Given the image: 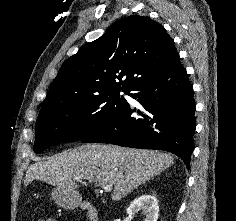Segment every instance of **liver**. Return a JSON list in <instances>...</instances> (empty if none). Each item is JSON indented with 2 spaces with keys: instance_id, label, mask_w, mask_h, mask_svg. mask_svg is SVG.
<instances>
[{
  "instance_id": "liver-1",
  "label": "liver",
  "mask_w": 236,
  "mask_h": 221,
  "mask_svg": "<svg viewBox=\"0 0 236 221\" xmlns=\"http://www.w3.org/2000/svg\"><path fill=\"white\" fill-rule=\"evenodd\" d=\"M174 164L173 156L154 150L86 144L30 165L25 184L40 180L77 192L74 178L112 185L111 198L120 201L141 184Z\"/></svg>"
}]
</instances>
